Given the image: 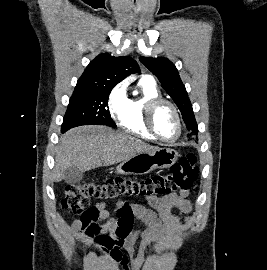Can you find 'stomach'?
I'll return each instance as SVG.
<instances>
[{
    "instance_id": "0dacf381",
    "label": "stomach",
    "mask_w": 267,
    "mask_h": 270,
    "mask_svg": "<svg viewBox=\"0 0 267 270\" xmlns=\"http://www.w3.org/2000/svg\"><path fill=\"white\" fill-rule=\"evenodd\" d=\"M178 157V153L172 148H158L151 152H142L120 163L116 167V173L122 175L147 174L157 168L172 166Z\"/></svg>"
}]
</instances>
